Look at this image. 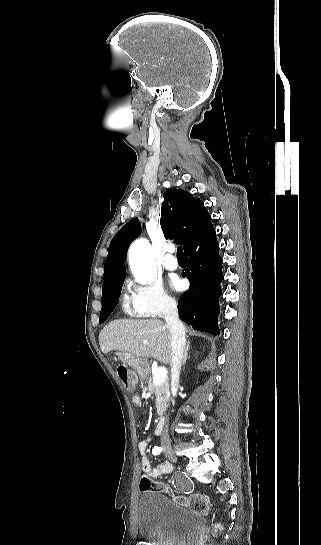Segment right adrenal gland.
<instances>
[{
	"mask_svg": "<svg viewBox=\"0 0 321 545\" xmlns=\"http://www.w3.org/2000/svg\"><path fill=\"white\" fill-rule=\"evenodd\" d=\"M189 347H190V341H187V345H186V349H185V351H184V357H183V361H182L183 367H184V365H185L187 359H190V357H188V349H189Z\"/></svg>",
	"mask_w": 321,
	"mask_h": 545,
	"instance_id": "right-adrenal-gland-1",
	"label": "right adrenal gland"
}]
</instances>
